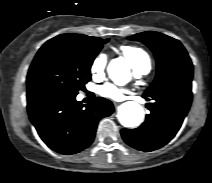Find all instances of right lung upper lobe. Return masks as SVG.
<instances>
[{"instance_id": "obj_1", "label": "right lung upper lobe", "mask_w": 212, "mask_h": 183, "mask_svg": "<svg viewBox=\"0 0 212 183\" xmlns=\"http://www.w3.org/2000/svg\"><path fill=\"white\" fill-rule=\"evenodd\" d=\"M57 37H66V38H72V39H90V38H92L90 36L74 34V33L62 34Z\"/></svg>"}]
</instances>
